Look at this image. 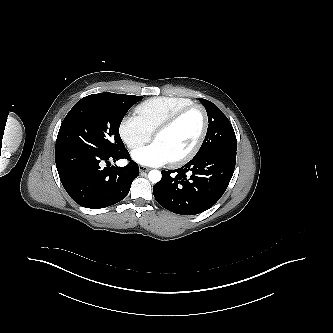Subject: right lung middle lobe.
<instances>
[{"mask_svg": "<svg viewBox=\"0 0 333 333\" xmlns=\"http://www.w3.org/2000/svg\"><path fill=\"white\" fill-rule=\"evenodd\" d=\"M141 99L142 96L109 92L82 98L63 120L56 145L80 146L108 155L124 149L120 123L129 108Z\"/></svg>", "mask_w": 333, "mask_h": 333, "instance_id": "obj_1", "label": "right lung middle lobe"}]
</instances>
